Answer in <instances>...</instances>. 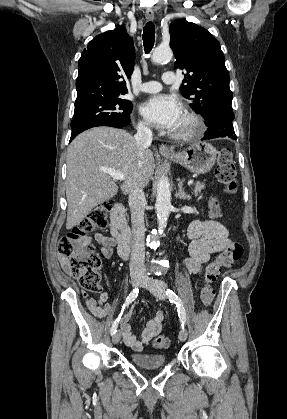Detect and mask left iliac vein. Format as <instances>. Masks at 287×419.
I'll list each match as a JSON object with an SVG mask.
<instances>
[{
    "instance_id": "left-iliac-vein-1",
    "label": "left iliac vein",
    "mask_w": 287,
    "mask_h": 419,
    "mask_svg": "<svg viewBox=\"0 0 287 419\" xmlns=\"http://www.w3.org/2000/svg\"><path fill=\"white\" fill-rule=\"evenodd\" d=\"M141 286L147 288L156 298L160 300H164L166 298L165 295V288L167 285L160 280L153 279L151 277H144ZM187 338V331L186 329H181L179 332V339L180 341H185Z\"/></svg>"
}]
</instances>
